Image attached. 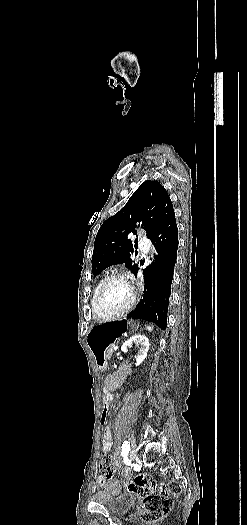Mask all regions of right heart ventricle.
<instances>
[{
    "label": "right heart ventricle",
    "instance_id": "obj_1",
    "mask_svg": "<svg viewBox=\"0 0 247 525\" xmlns=\"http://www.w3.org/2000/svg\"><path fill=\"white\" fill-rule=\"evenodd\" d=\"M94 293V292H93ZM97 304H98V300H97ZM90 305H91V308H92V313H93V317H108V316H105L101 313H99L97 310H96V300L94 299V296L92 294L91 298H90Z\"/></svg>",
    "mask_w": 247,
    "mask_h": 525
}]
</instances>
